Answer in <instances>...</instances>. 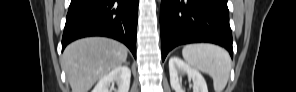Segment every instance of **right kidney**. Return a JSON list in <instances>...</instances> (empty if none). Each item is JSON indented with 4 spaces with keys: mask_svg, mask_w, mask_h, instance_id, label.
<instances>
[{
    "mask_svg": "<svg viewBox=\"0 0 296 92\" xmlns=\"http://www.w3.org/2000/svg\"><path fill=\"white\" fill-rule=\"evenodd\" d=\"M130 78L131 70L128 66L116 67L98 81L92 92H129ZM115 82L117 90L113 87Z\"/></svg>",
    "mask_w": 296,
    "mask_h": 92,
    "instance_id": "1",
    "label": "right kidney"
}]
</instances>
